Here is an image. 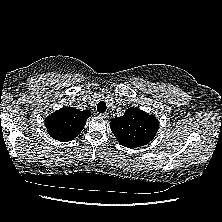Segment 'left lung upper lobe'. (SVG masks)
<instances>
[{"label": "left lung upper lobe", "instance_id": "obj_1", "mask_svg": "<svg viewBox=\"0 0 222 222\" xmlns=\"http://www.w3.org/2000/svg\"><path fill=\"white\" fill-rule=\"evenodd\" d=\"M110 127L121 145L132 148L153 140L159 129V121L138 108L130 107L123 116L112 119Z\"/></svg>", "mask_w": 222, "mask_h": 222}]
</instances>
